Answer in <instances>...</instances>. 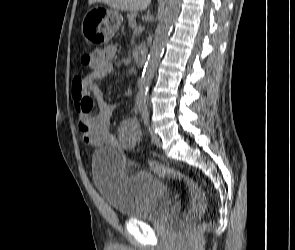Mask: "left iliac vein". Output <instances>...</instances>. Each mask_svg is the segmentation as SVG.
<instances>
[{"mask_svg": "<svg viewBox=\"0 0 295 250\" xmlns=\"http://www.w3.org/2000/svg\"><path fill=\"white\" fill-rule=\"evenodd\" d=\"M148 132L150 134V137H151V140H152V143L157 147V148H161L162 146V142L159 138V136L157 134H155L152 126H149L148 127Z\"/></svg>", "mask_w": 295, "mask_h": 250, "instance_id": "1", "label": "left iliac vein"}]
</instances>
